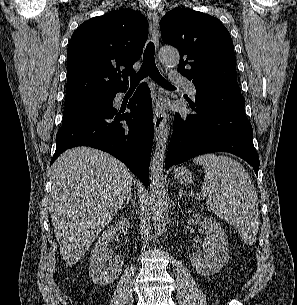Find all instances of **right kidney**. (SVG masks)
<instances>
[{"mask_svg":"<svg viewBox=\"0 0 297 305\" xmlns=\"http://www.w3.org/2000/svg\"><path fill=\"white\" fill-rule=\"evenodd\" d=\"M129 228V220L121 218L115 226H108L102 233L90 257L89 274L94 283L104 286L114 282L120 275L124 259L121 255H117L112 259L108 253V246L118 231L126 234ZM107 261H109V265L105 266Z\"/></svg>","mask_w":297,"mask_h":305,"instance_id":"ca27d5eb","label":"right kidney"}]
</instances>
